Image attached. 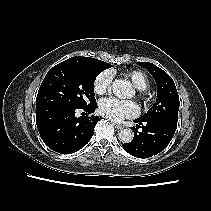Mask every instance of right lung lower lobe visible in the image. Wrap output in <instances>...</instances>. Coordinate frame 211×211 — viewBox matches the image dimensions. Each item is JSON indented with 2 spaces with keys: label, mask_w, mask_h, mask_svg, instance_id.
<instances>
[{
  "label": "right lung lower lobe",
  "mask_w": 211,
  "mask_h": 211,
  "mask_svg": "<svg viewBox=\"0 0 211 211\" xmlns=\"http://www.w3.org/2000/svg\"><path fill=\"white\" fill-rule=\"evenodd\" d=\"M97 104L81 108L86 116L76 117L79 108L62 106L36 107V124L44 143L61 154H72L83 148L94 134L98 116H88ZM85 112H83L85 114Z\"/></svg>",
  "instance_id": "1"
}]
</instances>
